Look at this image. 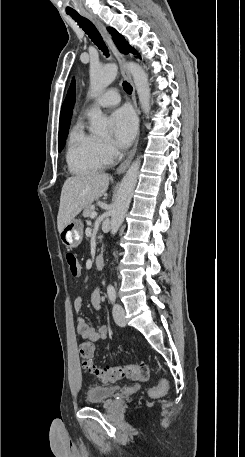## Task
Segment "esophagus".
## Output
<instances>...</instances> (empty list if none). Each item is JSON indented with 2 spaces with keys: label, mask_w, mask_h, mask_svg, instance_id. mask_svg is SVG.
<instances>
[{
  "label": "esophagus",
  "mask_w": 245,
  "mask_h": 457,
  "mask_svg": "<svg viewBox=\"0 0 245 457\" xmlns=\"http://www.w3.org/2000/svg\"><path fill=\"white\" fill-rule=\"evenodd\" d=\"M83 15L87 18H89V20H91V22L94 23V25H96V27L98 28L99 32L101 33V35L103 36L104 40H106L107 44L109 45V47L111 48L113 54L115 55V57L117 58L119 64H120V69H121V73L122 75L128 80V82H130V84L132 85V100H133V105H134V108L136 110L137 113H139V109H138V105H137V101H136V92H135V87H134V83H133V80H132V77H131V74L127 68V64H126V60H125V57L124 55H122L119 50L116 48L112 38H111V35L107 32L105 26L99 21L97 20V18H95L93 15H90V13H87V12H83ZM139 136H140V130H139V125H138V132H137V137H136V142L134 144V147L132 149V152L130 153V155L126 158V160L121 163V165H119V167L117 168L116 170V173L117 174H121L123 172H125V170L127 169V167L130 165L135 153H136V149H137V145H138V140H139Z\"/></svg>",
  "instance_id": "obj_1"
}]
</instances>
